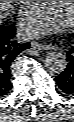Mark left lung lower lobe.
I'll use <instances>...</instances> for the list:
<instances>
[{
	"instance_id": "1",
	"label": "left lung lower lobe",
	"mask_w": 74,
	"mask_h": 122,
	"mask_svg": "<svg viewBox=\"0 0 74 122\" xmlns=\"http://www.w3.org/2000/svg\"><path fill=\"white\" fill-rule=\"evenodd\" d=\"M74 37V33L72 34ZM67 68L56 77L59 91L66 95H74V47L66 54Z\"/></svg>"
}]
</instances>
